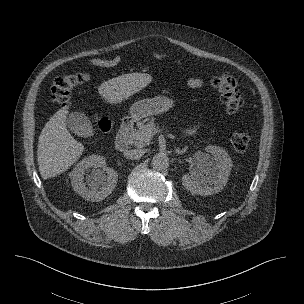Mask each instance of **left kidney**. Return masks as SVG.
<instances>
[{"label": "left kidney", "mask_w": 304, "mask_h": 304, "mask_svg": "<svg viewBox=\"0 0 304 304\" xmlns=\"http://www.w3.org/2000/svg\"><path fill=\"white\" fill-rule=\"evenodd\" d=\"M207 153L197 152L191 175L182 176L183 186L192 194L212 195L221 191L228 181L232 169V160L225 149L209 145ZM217 160L216 166L208 162L210 155Z\"/></svg>", "instance_id": "1"}]
</instances>
